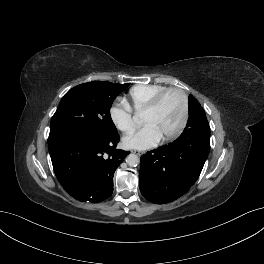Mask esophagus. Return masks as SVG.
Listing matches in <instances>:
<instances>
[{
	"instance_id": "esophagus-1",
	"label": "esophagus",
	"mask_w": 264,
	"mask_h": 264,
	"mask_svg": "<svg viewBox=\"0 0 264 264\" xmlns=\"http://www.w3.org/2000/svg\"><path fill=\"white\" fill-rule=\"evenodd\" d=\"M133 153H136L137 155H142L143 153L142 152H137V151H132Z\"/></svg>"
}]
</instances>
